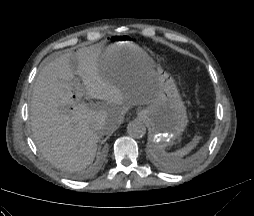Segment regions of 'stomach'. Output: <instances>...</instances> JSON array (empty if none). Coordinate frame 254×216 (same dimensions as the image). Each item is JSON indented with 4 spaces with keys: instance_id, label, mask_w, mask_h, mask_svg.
I'll return each mask as SVG.
<instances>
[{
    "instance_id": "1",
    "label": "stomach",
    "mask_w": 254,
    "mask_h": 216,
    "mask_svg": "<svg viewBox=\"0 0 254 216\" xmlns=\"http://www.w3.org/2000/svg\"><path fill=\"white\" fill-rule=\"evenodd\" d=\"M103 53H108L107 69L121 74L151 72L154 78L151 102L141 108L138 116L151 128L150 141L164 150L178 139L188 122L186 107L180 97L174 80L156 67L148 55L126 36L111 38Z\"/></svg>"
}]
</instances>
